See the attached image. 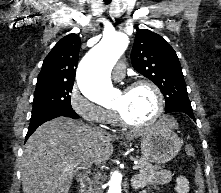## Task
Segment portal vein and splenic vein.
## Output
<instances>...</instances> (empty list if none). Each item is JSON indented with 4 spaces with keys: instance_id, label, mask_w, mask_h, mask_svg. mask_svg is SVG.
Masks as SVG:
<instances>
[{
    "instance_id": "18ae733b",
    "label": "portal vein and splenic vein",
    "mask_w": 221,
    "mask_h": 193,
    "mask_svg": "<svg viewBox=\"0 0 221 193\" xmlns=\"http://www.w3.org/2000/svg\"><path fill=\"white\" fill-rule=\"evenodd\" d=\"M76 167H77L76 164H72V165L67 166V167L64 168L63 170H64V171L73 170V169H75ZM132 169H133V170H137V169H138V164L135 163V164L133 165Z\"/></svg>"
}]
</instances>
